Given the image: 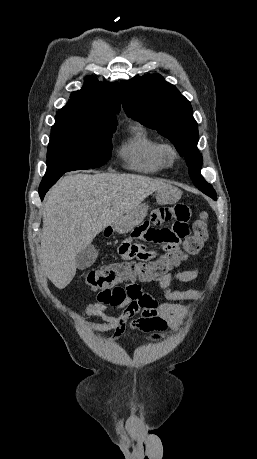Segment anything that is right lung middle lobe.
<instances>
[{
    "label": "right lung middle lobe",
    "mask_w": 257,
    "mask_h": 459,
    "mask_svg": "<svg viewBox=\"0 0 257 459\" xmlns=\"http://www.w3.org/2000/svg\"><path fill=\"white\" fill-rule=\"evenodd\" d=\"M115 129L56 119L48 145L45 175L104 165L111 156Z\"/></svg>",
    "instance_id": "obj_1"
}]
</instances>
